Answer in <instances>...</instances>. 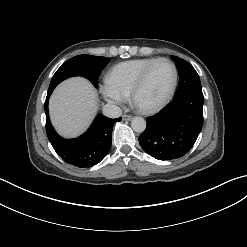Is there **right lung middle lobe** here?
Here are the masks:
<instances>
[{
	"label": "right lung middle lobe",
	"mask_w": 247,
	"mask_h": 247,
	"mask_svg": "<svg viewBox=\"0 0 247 247\" xmlns=\"http://www.w3.org/2000/svg\"><path fill=\"white\" fill-rule=\"evenodd\" d=\"M109 59L92 55H78L66 61L54 74L49 89H54L61 81L72 76H83L89 79L95 87L101 70Z\"/></svg>",
	"instance_id": "right-lung-middle-lobe-1"
}]
</instances>
